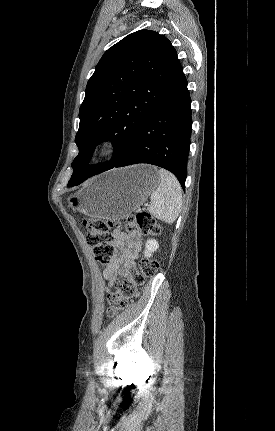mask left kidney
Wrapping results in <instances>:
<instances>
[{
    "label": "left kidney",
    "mask_w": 275,
    "mask_h": 431,
    "mask_svg": "<svg viewBox=\"0 0 275 431\" xmlns=\"http://www.w3.org/2000/svg\"><path fill=\"white\" fill-rule=\"evenodd\" d=\"M158 248H159V244L155 239L147 240L145 244L144 256L147 258L151 257L152 253L156 251Z\"/></svg>",
    "instance_id": "1"
}]
</instances>
